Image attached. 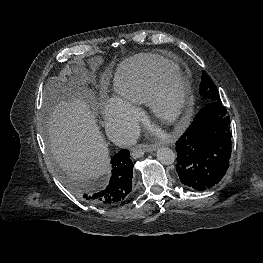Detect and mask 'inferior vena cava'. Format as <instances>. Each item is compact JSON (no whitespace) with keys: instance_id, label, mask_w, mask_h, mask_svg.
Listing matches in <instances>:
<instances>
[{"instance_id":"inferior-vena-cava-1","label":"inferior vena cava","mask_w":263,"mask_h":263,"mask_svg":"<svg viewBox=\"0 0 263 263\" xmlns=\"http://www.w3.org/2000/svg\"><path fill=\"white\" fill-rule=\"evenodd\" d=\"M111 141L119 147H130L136 143V136L126 122H113L107 127Z\"/></svg>"}]
</instances>
